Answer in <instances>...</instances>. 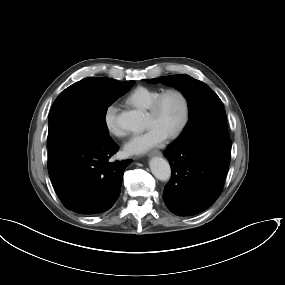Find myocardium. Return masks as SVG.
Returning <instances> with one entry per match:
<instances>
[{"label": "myocardium", "mask_w": 285, "mask_h": 285, "mask_svg": "<svg viewBox=\"0 0 285 285\" xmlns=\"http://www.w3.org/2000/svg\"><path fill=\"white\" fill-rule=\"evenodd\" d=\"M170 94H175V95L179 96L182 103H183L182 119H181L179 125L176 127V129L167 135V138L175 139L182 134V132L186 128V126L189 122V118H190V102H189V98L186 95V93L184 91H182L181 89H178V88L166 89V90L162 91L154 99V101L151 103L150 107L148 108V111L150 114L156 115L160 110V107L162 105L163 100Z\"/></svg>", "instance_id": "1"}]
</instances>
